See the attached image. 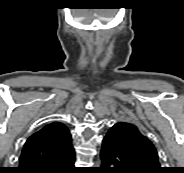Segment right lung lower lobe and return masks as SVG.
Returning a JSON list of instances; mask_svg holds the SVG:
<instances>
[{
    "label": "right lung lower lobe",
    "instance_id": "98d812e1",
    "mask_svg": "<svg viewBox=\"0 0 184 173\" xmlns=\"http://www.w3.org/2000/svg\"><path fill=\"white\" fill-rule=\"evenodd\" d=\"M74 149L66 155L45 162L17 168L16 173H79L74 167Z\"/></svg>",
    "mask_w": 184,
    "mask_h": 173
}]
</instances>
